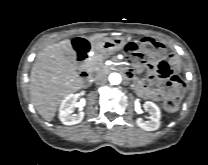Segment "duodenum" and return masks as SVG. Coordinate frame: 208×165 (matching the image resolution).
<instances>
[{
    "label": "duodenum",
    "instance_id": "410a0bca",
    "mask_svg": "<svg viewBox=\"0 0 208 165\" xmlns=\"http://www.w3.org/2000/svg\"><path fill=\"white\" fill-rule=\"evenodd\" d=\"M89 50L90 47L88 45H84L77 57L78 75L84 82H87L90 76V72L88 68ZM117 68L127 79L132 78V72L129 69L122 66H117Z\"/></svg>",
    "mask_w": 208,
    "mask_h": 165
}]
</instances>
